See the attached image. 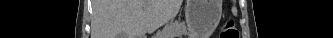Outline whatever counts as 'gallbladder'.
<instances>
[{"label": "gallbladder", "mask_w": 333, "mask_h": 38, "mask_svg": "<svg viewBox=\"0 0 333 38\" xmlns=\"http://www.w3.org/2000/svg\"><path fill=\"white\" fill-rule=\"evenodd\" d=\"M120 38H125V36L124 35H120Z\"/></svg>", "instance_id": "gallbladder-1"}]
</instances>
